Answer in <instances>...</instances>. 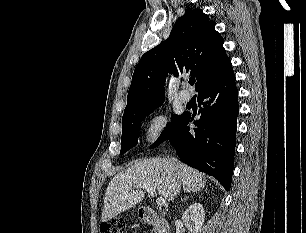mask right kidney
<instances>
[{"instance_id":"obj_1","label":"right kidney","mask_w":306,"mask_h":233,"mask_svg":"<svg viewBox=\"0 0 306 233\" xmlns=\"http://www.w3.org/2000/svg\"><path fill=\"white\" fill-rule=\"evenodd\" d=\"M189 233H199L205 221V211L200 203L190 205L182 216Z\"/></svg>"}]
</instances>
